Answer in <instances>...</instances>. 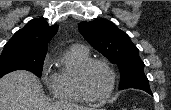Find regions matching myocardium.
Segmentation results:
<instances>
[{
    "instance_id": "obj_1",
    "label": "myocardium",
    "mask_w": 171,
    "mask_h": 110,
    "mask_svg": "<svg viewBox=\"0 0 171 110\" xmlns=\"http://www.w3.org/2000/svg\"><path fill=\"white\" fill-rule=\"evenodd\" d=\"M95 64L103 65L108 70L110 77H111L110 88L108 89V91L106 93L99 95V96L92 95L88 91V89L85 85L86 74H87L88 70ZM116 83H117V78H116V72H115L114 68L108 61L103 60V59L88 60L81 66V68L78 70V73L76 76L77 89H78L79 93L88 101H102V100H106V99L110 98L115 91Z\"/></svg>"
}]
</instances>
